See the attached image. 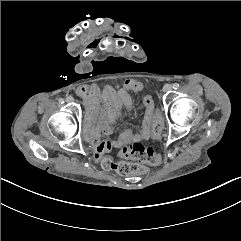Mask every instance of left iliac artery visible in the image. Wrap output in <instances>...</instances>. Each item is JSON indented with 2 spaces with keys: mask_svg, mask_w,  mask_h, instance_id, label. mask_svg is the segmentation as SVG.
I'll use <instances>...</instances> for the list:
<instances>
[{
  "mask_svg": "<svg viewBox=\"0 0 241 241\" xmlns=\"http://www.w3.org/2000/svg\"><path fill=\"white\" fill-rule=\"evenodd\" d=\"M173 88H174V89H178V88H179V84H178V83H174V84H173Z\"/></svg>",
  "mask_w": 241,
  "mask_h": 241,
  "instance_id": "obj_1",
  "label": "left iliac artery"
}]
</instances>
